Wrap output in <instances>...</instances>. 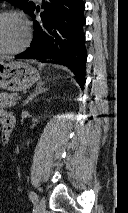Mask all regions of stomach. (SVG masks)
I'll return each mask as SVG.
<instances>
[{
    "label": "stomach",
    "mask_w": 128,
    "mask_h": 213,
    "mask_svg": "<svg viewBox=\"0 0 128 213\" xmlns=\"http://www.w3.org/2000/svg\"><path fill=\"white\" fill-rule=\"evenodd\" d=\"M39 72L28 62H0V88L22 91L31 87L38 79Z\"/></svg>",
    "instance_id": "0dacf381"
}]
</instances>
